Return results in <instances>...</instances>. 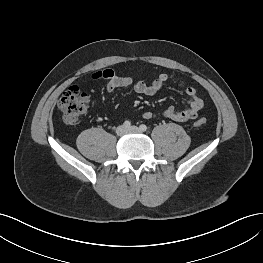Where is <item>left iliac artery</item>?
I'll return each mask as SVG.
<instances>
[{
  "label": "left iliac artery",
  "instance_id": "obj_1",
  "mask_svg": "<svg viewBox=\"0 0 263 263\" xmlns=\"http://www.w3.org/2000/svg\"><path fill=\"white\" fill-rule=\"evenodd\" d=\"M139 128L142 132H145L147 130V126L145 124H141Z\"/></svg>",
  "mask_w": 263,
  "mask_h": 263
}]
</instances>
